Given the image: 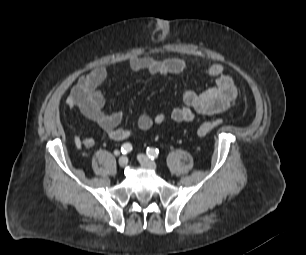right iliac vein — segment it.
<instances>
[{
  "label": "right iliac vein",
  "mask_w": 306,
  "mask_h": 255,
  "mask_svg": "<svg viewBox=\"0 0 306 255\" xmlns=\"http://www.w3.org/2000/svg\"><path fill=\"white\" fill-rule=\"evenodd\" d=\"M118 163L120 167H126L128 164V158L126 156H122L119 158Z\"/></svg>",
  "instance_id": "1"
}]
</instances>
